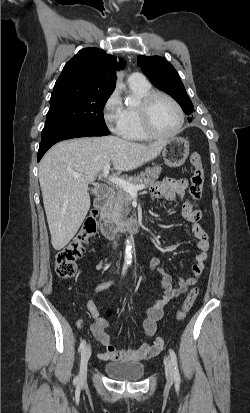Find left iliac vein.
<instances>
[{"instance_id":"4c4485c4","label":"left iliac vein","mask_w":250,"mask_h":413,"mask_svg":"<svg viewBox=\"0 0 250 413\" xmlns=\"http://www.w3.org/2000/svg\"><path fill=\"white\" fill-rule=\"evenodd\" d=\"M164 365H165V374H166L167 383L169 385H172L174 381V368H173V364L169 357L164 358Z\"/></svg>"}]
</instances>
